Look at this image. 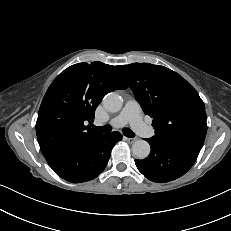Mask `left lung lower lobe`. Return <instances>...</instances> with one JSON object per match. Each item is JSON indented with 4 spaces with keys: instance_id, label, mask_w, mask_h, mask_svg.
I'll list each match as a JSON object with an SVG mask.
<instances>
[{
    "instance_id": "1",
    "label": "left lung lower lobe",
    "mask_w": 231,
    "mask_h": 231,
    "mask_svg": "<svg viewBox=\"0 0 231 231\" xmlns=\"http://www.w3.org/2000/svg\"><path fill=\"white\" fill-rule=\"evenodd\" d=\"M151 153L135 160L139 171L149 180L165 183L184 175L196 161L202 145L186 140L146 139Z\"/></svg>"
}]
</instances>
